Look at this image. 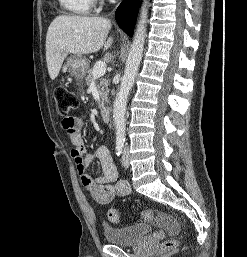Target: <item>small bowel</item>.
<instances>
[{"label":"small bowel","mask_w":247,"mask_h":257,"mask_svg":"<svg viewBox=\"0 0 247 257\" xmlns=\"http://www.w3.org/2000/svg\"><path fill=\"white\" fill-rule=\"evenodd\" d=\"M63 129L73 148L70 152L79 174L82 185L90 191L93 198L100 204H109L116 196H125L130 193V185L127 181L118 180V171L113 161L110 150L102 145L99 146L94 154H88L84 144L81 128L83 118L76 116L71 118V123L65 125ZM97 158L101 164L102 175L93 179L87 174L89 163ZM155 222L169 233L178 230V224L169 216L160 213L155 217Z\"/></svg>","instance_id":"small-bowel-1"}]
</instances>
